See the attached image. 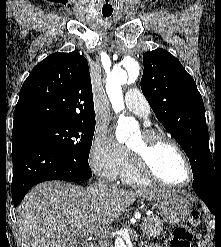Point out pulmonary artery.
<instances>
[{
	"mask_svg": "<svg viewBox=\"0 0 221 247\" xmlns=\"http://www.w3.org/2000/svg\"><path fill=\"white\" fill-rule=\"evenodd\" d=\"M125 108L135 115L145 119L148 124L150 106L144 95L137 89H130L125 96Z\"/></svg>",
	"mask_w": 221,
	"mask_h": 247,
	"instance_id": "obj_1",
	"label": "pulmonary artery"
}]
</instances>
